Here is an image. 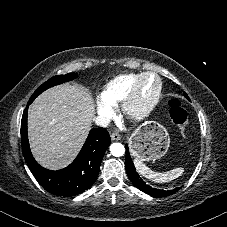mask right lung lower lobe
Here are the masks:
<instances>
[{
  "instance_id": "1",
  "label": "right lung lower lobe",
  "mask_w": 227,
  "mask_h": 227,
  "mask_svg": "<svg viewBox=\"0 0 227 227\" xmlns=\"http://www.w3.org/2000/svg\"><path fill=\"white\" fill-rule=\"evenodd\" d=\"M28 105L21 121V143L24 158L35 179L46 191L59 196H74L90 188L97 179L102 158L111 143L107 130L92 129L76 159L64 169L51 171L40 166L32 156L27 133Z\"/></svg>"
}]
</instances>
